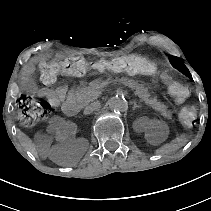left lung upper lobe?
<instances>
[{
  "label": "left lung upper lobe",
  "instance_id": "1",
  "mask_svg": "<svg viewBox=\"0 0 211 211\" xmlns=\"http://www.w3.org/2000/svg\"><path fill=\"white\" fill-rule=\"evenodd\" d=\"M169 61L173 67L178 69L180 72L185 74L187 77L191 78V74H190L188 68L179 59H177L173 56H169Z\"/></svg>",
  "mask_w": 211,
  "mask_h": 211
}]
</instances>
